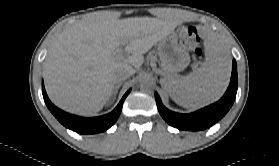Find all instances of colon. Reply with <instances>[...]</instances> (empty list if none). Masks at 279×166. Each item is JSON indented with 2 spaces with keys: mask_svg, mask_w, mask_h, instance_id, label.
Returning <instances> with one entry per match:
<instances>
[{
  "mask_svg": "<svg viewBox=\"0 0 279 166\" xmlns=\"http://www.w3.org/2000/svg\"><path fill=\"white\" fill-rule=\"evenodd\" d=\"M180 45L192 53L196 61H200L203 56V49L200 43V36L195 26H181L178 29Z\"/></svg>",
  "mask_w": 279,
  "mask_h": 166,
  "instance_id": "1",
  "label": "colon"
}]
</instances>
